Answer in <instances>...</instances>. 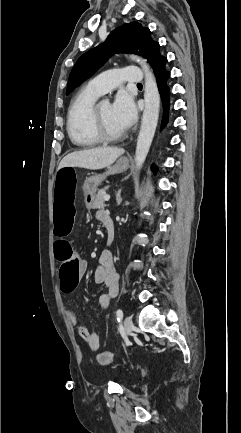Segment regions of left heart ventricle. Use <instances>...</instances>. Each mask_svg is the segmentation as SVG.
I'll use <instances>...</instances> for the list:
<instances>
[{
  "instance_id": "1",
  "label": "left heart ventricle",
  "mask_w": 241,
  "mask_h": 433,
  "mask_svg": "<svg viewBox=\"0 0 241 433\" xmlns=\"http://www.w3.org/2000/svg\"><path fill=\"white\" fill-rule=\"evenodd\" d=\"M99 113L103 122L105 129L111 134H119L124 130L119 126L116 122L113 113L112 107L109 103H101L99 106Z\"/></svg>"
}]
</instances>
